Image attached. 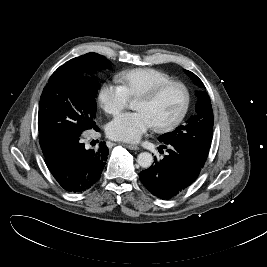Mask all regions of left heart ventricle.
<instances>
[{"instance_id": "left-heart-ventricle-1", "label": "left heart ventricle", "mask_w": 267, "mask_h": 267, "mask_svg": "<svg viewBox=\"0 0 267 267\" xmlns=\"http://www.w3.org/2000/svg\"><path fill=\"white\" fill-rule=\"evenodd\" d=\"M184 100L183 90L180 87H171L152 102L135 100L133 108L144 113L154 127L172 121L181 111Z\"/></svg>"}]
</instances>
